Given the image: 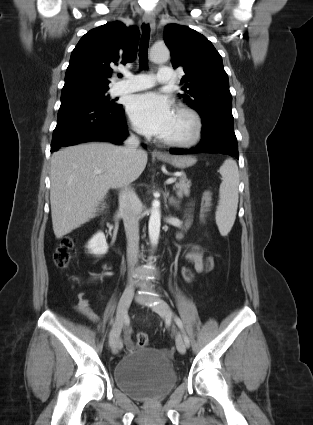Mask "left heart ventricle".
<instances>
[{"label":"left heart ventricle","instance_id":"left-heart-ventricle-1","mask_svg":"<svg viewBox=\"0 0 313 425\" xmlns=\"http://www.w3.org/2000/svg\"><path fill=\"white\" fill-rule=\"evenodd\" d=\"M192 124L189 119L183 115L174 114L172 124L163 138H182L190 134Z\"/></svg>","mask_w":313,"mask_h":425}]
</instances>
